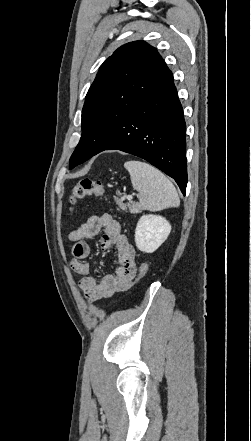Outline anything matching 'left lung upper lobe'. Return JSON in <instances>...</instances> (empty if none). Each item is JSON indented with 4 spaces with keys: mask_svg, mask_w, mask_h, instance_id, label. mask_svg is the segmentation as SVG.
Instances as JSON below:
<instances>
[{
    "mask_svg": "<svg viewBox=\"0 0 251 441\" xmlns=\"http://www.w3.org/2000/svg\"><path fill=\"white\" fill-rule=\"evenodd\" d=\"M167 70L157 50L144 41L122 45L105 60L85 98L82 135L70 158V169L88 159L84 142L91 127L110 117L129 113Z\"/></svg>",
    "mask_w": 251,
    "mask_h": 441,
    "instance_id": "obj_1",
    "label": "left lung upper lobe"
}]
</instances>
